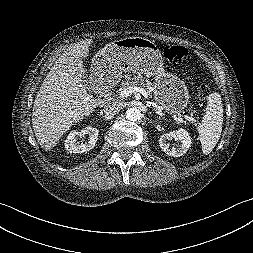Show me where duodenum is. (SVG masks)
I'll return each instance as SVG.
<instances>
[{"label":"duodenum","instance_id":"duodenum-1","mask_svg":"<svg viewBox=\"0 0 253 253\" xmlns=\"http://www.w3.org/2000/svg\"><path fill=\"white\" fill-rule=\"evenodd\" d=\"M111 100V93L109 91H105L103 94H101V101L102 102H108Z\"/></svg>","mask_w":253,"mask_h":253}]
</instances>
